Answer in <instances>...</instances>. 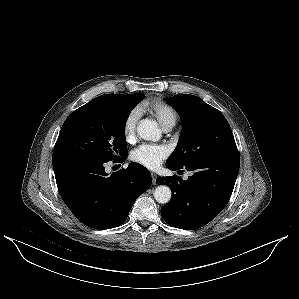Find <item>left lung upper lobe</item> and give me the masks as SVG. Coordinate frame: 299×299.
Returning a JSON list of instances; mask_svg holds the SVG:
<instances>
[{
	"instance_id": "1",
	"label": "left lung upper lobe",
	"mask_w": 299,
	"mask_h": 299,
	"mask_svg": "<svg viewBox=\"0 0 299 299\" xmlns=\"http://www.w3.org/2000/svg\"><path fill=\"white\" fill-rule=\"evenodd\" d=\"M182 119L178 144L167 165L186 167L213 154L236 149V143L224 115L201 98L175 95L168 98Z\"/></svg>"
}]
</instances>
